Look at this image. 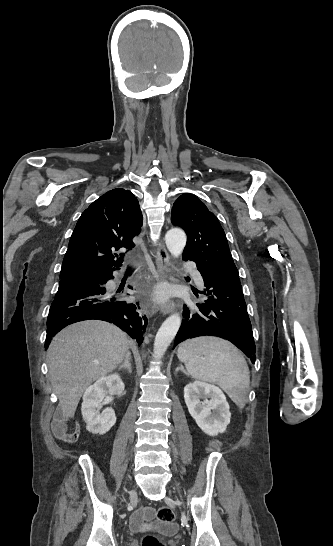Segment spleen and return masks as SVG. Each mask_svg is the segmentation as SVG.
I'll return each instance as SVG.
<instances>
[{"mask_svg":"<svg viewBox=\"0 0 333 546\" xmlns=\"http://www.w3.org/2000/svg\"><path fill=\"white\" fill-rule=\"evenodd\" d=\"M177 356L190 376L217 384L239 408H244L250 372L240 351L229 341L212 336L190 339L180 344Z\"/></svg>","mask_w":333,"mask_h":546,"instance_id":"1","label":"spleen"}]
</instances>
